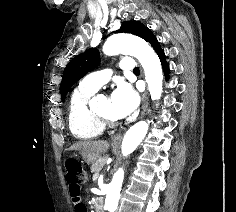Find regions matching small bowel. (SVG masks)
Segmentation results:
<instances>
[{"label": "small bowel", "instance_id": "obj_1", "mask_svg": "<svg viewBox=\"0 0 236 212\" xmlns=\"http://www.w3.org/2000/svg\"><path fill=\"white\" fill-rule=\"evenodd\" d=\"M65 180H68L69 198H72V212H88V205H82L84 199L81 198L83 194V185H80L81 180L76 179V175H65Z\"/></svg>", "mask_w": 236, "mask_h": 212}]
</instances>
